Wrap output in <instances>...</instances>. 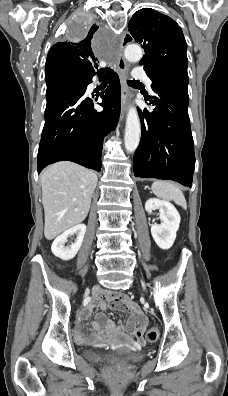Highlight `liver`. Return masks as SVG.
Returning <instances> with one entry per match:
<instances>
[{
	"label": "liver",
	"instance_id": "1",
	"mask_svg": "<svg viewBox=\"0 0 228 396\" xmlns=\"http://www.w3.org/2000/svg\"><path fill=\"white\" fill-rule=\"evenodd\" d=\"M97 181L94 172L69 161L52 164L42 173L44 236L47 240L85 220Z\"/></svg>",
	"mask_w": 228,
	"mask_h": 396
}]
</instances>
